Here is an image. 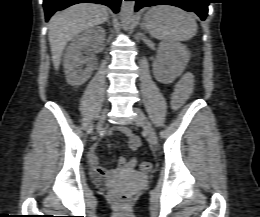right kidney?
Returning a JSON list of instances; mask_svg holds the SVG:
<instances>
[{"instance_id":"ca27d5eb","label":"right kidney","mask_w":260,"mask_h":217,"mask_svg":"<svg viewBox=\"0 0 260 217\" xmlns=\"http://www.w3.org/2000/svg\"><path fill=\"white\" fill-rule=\"evenodd\" d=\"M104 38L105 30L99 26L87 29L81 35L73 38L64 57V71L70 85L80 86L89 79L92 66L86 64L85 69H82L81 64L84 62L82 52L87 47L101 45Z\"/></svg>"}]
</instances>
